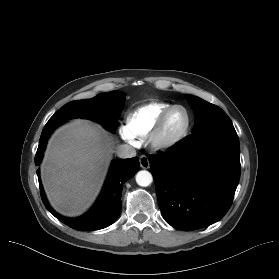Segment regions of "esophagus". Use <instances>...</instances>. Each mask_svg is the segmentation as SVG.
Here are the masks:
<instances>
[{
	"mask_svg": "<svg viewBox=\"0 0 279 279\" xmlns=\"http://www.w3.org/2000/svg\"><path fill=\"white\" fill-rule=\"evenodd\" d=\"M139 163H140V166L144 169H148L150 166L149 160H148L147 156H145V155H142L139 158Z\"/></svg>",
	"mask_w": 279,
	"mask_h": 279,
	"instance_id": "1",
	"label": "esophagus"
}]
</instances>
